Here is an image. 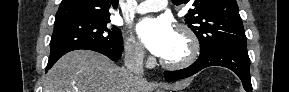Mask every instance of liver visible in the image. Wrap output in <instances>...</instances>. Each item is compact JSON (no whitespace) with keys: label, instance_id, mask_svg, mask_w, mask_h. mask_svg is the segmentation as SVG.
Returning <instances> with one entry per match:
<instances>
[{"label":"liver","instance_id":"liver-1","mask_svg":"<svg viewBox=\"0 0 289 92\" xmlns=\"http://www.w3.org/2000/svg\"><path fill=\"white\" fill-rule=\"evenodd\" d=\"M184 82L166 86L177 90ZM155 85L108 57L88 50H74L61 57L48 71L44 92H152Z\"/></svg>","mask_w":289,"mask_h":92}]
</instances>
